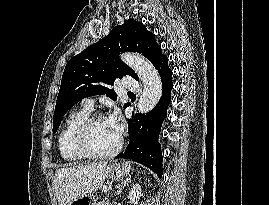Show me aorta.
Here are the masks:
<instances>
[{
  "label": "aorta",
  "instance_id": "762f6f07",
  "mask_svg": "<svg viewBox=\"0 0 269 205\" xmlns=\"http://www.w3.org/2000/svg\"><path fill=\"white\" fill-rule=\"evenodd\" d=\"M120 58L138 75L144 87L137 103L138 112L142 114L150 112L162 96V82L158 71L141 55L123 53Z\"/></svg>",
  "mask_w": 269,
  "mask_h": 205
}]
</instances>
